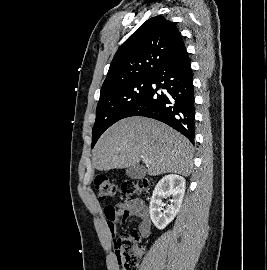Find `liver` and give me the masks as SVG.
I'll return each mask as SVG.
<instances>
[{"instance_id": "1", "label": "liver", "mask_w": 267, "mask_h": 270, "mask_svg": "<svg viewBox=\"0 0 267 270\" xmlns=\"http://www.w3.org/2000/svg\"><path fill=\"white\" fill-rule=\"evenodd\" d=\"M148 160V174L176 173L189 176L193 167V146L169 126L145 117H128L113 124L93 150V164L99 171L134 166Z\"/></svg>"}]
</instances>
